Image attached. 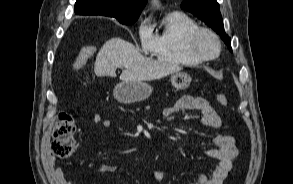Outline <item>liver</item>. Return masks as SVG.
<instances>
[{
	"label": "liver",
	"instance_id": "6515ba94",
	"mask_svg": "<svg viewBox=\"0 0 293 184\" xmlns=\"http://www.w3.org/2000/svg\"><path fill=\"white\" fill-rule=\"evenodd\" d=\"M117 68L123 69L122 81L155 80L181 70L176 64L144 57L132 43L116 37L99 50L94 72L98 77H116Z\"/></svg>",
	"mask_w": 293,
	"mask_h": 184
}]
</instances>
